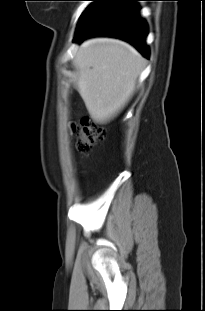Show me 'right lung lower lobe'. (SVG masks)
Masks as SVG:
<instances>
[{"label":"right lung lower lobe","mask_w":205,"mask_h":311,"mask_svg":"<svg viewBox=\"0 0 205 311\" xmlns=\"http://www.w3.org/2000/svg\"><path fill=\"white\" fill-rule=\"evenodd\" d=\"M84 12L74 41L81 42L92 36H112L133 44L148 58L145 45L147 26L133 1L139 0H94Z\"/></svg>","instance_id":"1"}]
</instances>
